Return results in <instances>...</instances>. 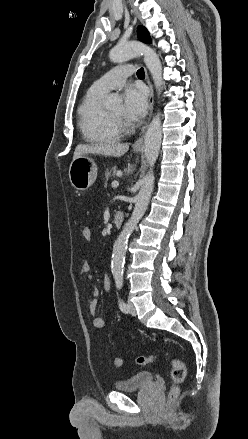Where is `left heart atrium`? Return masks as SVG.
<instances>
[{"mask_svg":"<svg viewBox=\"0 0 248 439\" xmlns=\"http://www.w3.org/2000/svg\"><path fill=\"white\" fill-rule=\"evenodd\" d=\"M147 109V94L142 87H130L123 94V116L127 120L141 119Z\"/></svg>","mask_w":248,"mask_h":439,"instance_id":"1","label":"left heart atrium"}]
</instances>
